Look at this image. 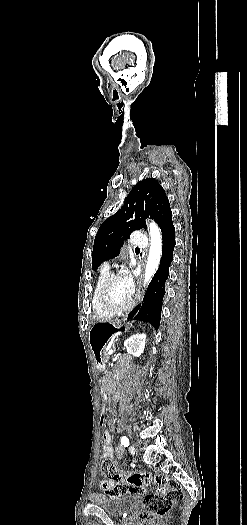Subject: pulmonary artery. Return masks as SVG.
I'll return each instance as SVG.
<instances>
[{
  "label": "pulmonary artery",
  "instance_id": "e3ab8cb5",
  "mask_svg": "<svg viewBox=\"0 0 247 525\" xmlns=\"http://www.w3.org/2000/svg\"><path fill=\"white\" fill-rule=\"evenodd\" d=\"M130 246H145L147 242L146 236H130L128 240Z\"/></svg>",
  "mask_w": 247,
  "mask_h": 525
}]
</instances>
